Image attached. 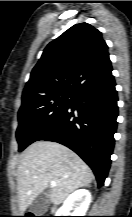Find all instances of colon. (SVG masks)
Segmentation results:
<instances>
[{
  "label": "colon",
  "instance_id": "1",
  "mask_svg": "<svg viewBox=\"0 0 132 217\" xmlns=\"http://www.w3.org/2000/svg\"><path fill=\"white\" fill-rule=\"evenodd\" d=\"M25 217H35V216H25Z\"/></svg>",
  "mask_w": 132,
  "mask_h": 217
}]
</instances>
